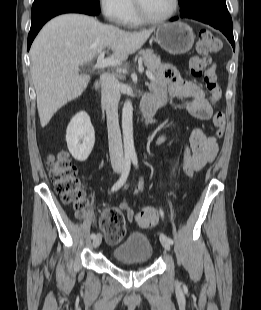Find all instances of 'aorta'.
Wrapping results in <instances>:
<instances>
[{"mask_svg":"<svg viewBox=\"0 0 261 310\" xmlns=\"http://www.w3.org/2000/svg\"><path fill=\"white\" fill-rule=\"evenodd\" d=\"M122 131L124 152L126 156H134V140H133V106L130 100L124 103L122 109Z\"/></svg>","mask_w":261,"mask_h":310,"instance_id":"1","label":"aorta"}]
</instances>
